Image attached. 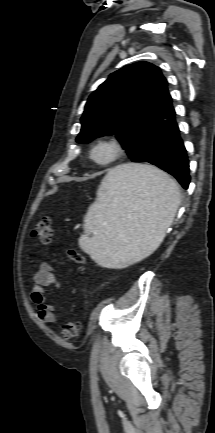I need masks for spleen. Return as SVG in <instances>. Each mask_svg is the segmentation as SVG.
Masks as SVG:
<instances>
[{
    "mask_svg": "<svg viewBox=\"0 0 215 433\" xmlns=\"http://www.w3.org/2000/svg\"><path fill=\"white\" fill-rule=\"evenodd\" d=\"M180 201L176 182L160 169L116 166L103 178L88 208L78 244L103 267L139 262L159 247Z\"/></svg>",
    "mask_w": 215,
    "mask_h": 433,
    "instance_id": "obj_1",
    "label": "spleen"
}]
</instances>
